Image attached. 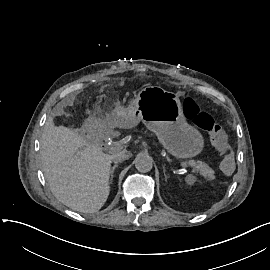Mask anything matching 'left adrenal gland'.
I'll return each mask as SVG.
<instances>
[{"label": "left adrenal gland", "mask_w": 270, "mask_h": 270, "mask_svg": "<svg viewBox=\"0 0 270 270\" xmlns=\"http://www.w3.org/2000/svg\"><path fill=\"white\" fill-rule=\"evenodd\" d=\"M165 171H166V170H165V165H163V173H164L165 181H167V178H168V177H167Z\"/></svg>", "instance_id": "1"}]
</instances>
